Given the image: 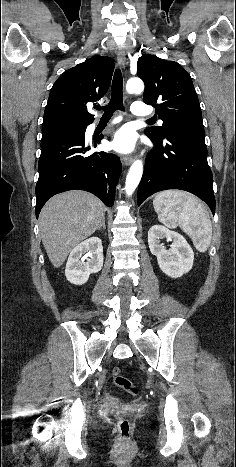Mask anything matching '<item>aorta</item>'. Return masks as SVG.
I'll return each mask as SVG.
<instances>
[{
    "mask_svg": "<svg viewBox=\"0 0 236 467\" xmlns=\"http://www.w3.org/2000/svg\"><path fill=\"white\" fill-rule=\"evenodd\" d=\"M126 90L128 93L140 94L144 90V83L139 78H132L127 81ZM143 174V163L141 160H135L131 165L126 177L125 191L128 196L135 191Z\"/></svg>",
    "mask_w": 236,
    "mask_h": 467,
    "instance_id": "obj_1",
    "label": "aorta"
}]
</instances>
